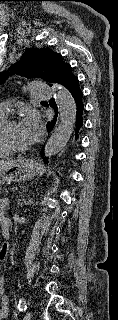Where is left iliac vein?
Segmentation results:
<instances>
[{"mask_svg": "<svg viewBox=\"0 0 118 320\" xmlns=\"http://www.w3.org/2000/svg\"><path fill=\"white\" fill-rule=\"evenodd\" d=\"M31 318H32V312L30 311L25 315L24 320H31Z\"/></svg>", "mask_w": 118, "mask_h": 320, "instance_id": "4c4485c4", "label": "left iliac vein"}]
</instances>
